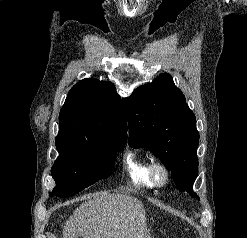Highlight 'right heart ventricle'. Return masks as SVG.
<instances>
[{"mask_svg": "<svg viewBox=\"0 0 247 238\" xmlns=\"http://www.w3.org/2000/svg\"><path fill=\"white\" fill-rule=\"evenodd\" d=\"M125 169L130 181L141 187L151 188L153 184L149 179L150 160L139 152H129L124 160Z\"/></svg>", "mask_w": 247, "mask_h": 238, "instance_id": "right-heart-ventricle-1", "label": "right heart ventricle"}]
</instances>
